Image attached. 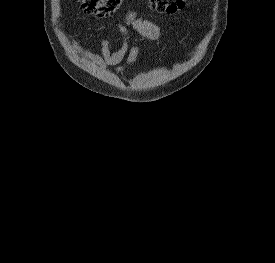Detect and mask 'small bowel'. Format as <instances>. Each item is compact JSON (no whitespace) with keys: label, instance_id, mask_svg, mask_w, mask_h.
I'll return each instance as SVG.
<instances>
[{"label":"small bowel","instance_id":"c3829d8e","mask_svg":"<svg viewBox=\"0 0 275 263\" xmlns=\"http://www.w3.org/2000/svg\"><path fill=\"white\" fill-rule=\"evenodd\" d=\"M128 26L132 27L139 35L149 40H157L161 35L160 28L154 22L141 19L133 10H128L126 12V23L118 25V30L122 35V44L120 48L112 52L110 50L109 38L104 36L101 39V54L84 50V55L102 69L115 66V71L117 73L124 72L129 66L136 62L140 51L138 45L129 48L130 37ZM125 58V62L121 64Z\"/></svg>","mask_w":275,"mask_h":263}]
</instances>
